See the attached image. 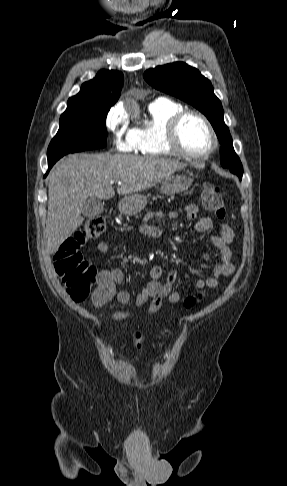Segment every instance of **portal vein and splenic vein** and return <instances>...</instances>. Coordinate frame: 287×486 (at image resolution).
Returning <instances> with one entry per match:
<instances>
[{"label":"portal vein and splenic vein","mask_w":287,"mask_h":486,"mask_svg":"<svg viewBox=\"0 0 287 486\" xmlns=\"http://www.w3.org/2000/svg\"><path fill=\"white\" fill-rule=\"evenodd\" d=\"M117 182H118V184H122V182H121L120 180H119V181H117Z\"/></svg>","instance_id":"1"}]
</instances>
